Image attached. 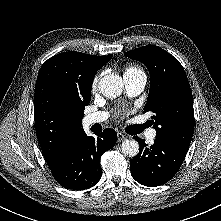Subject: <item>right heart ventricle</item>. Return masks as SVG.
<instances>
[{
  "label": "right heart ventricle",
  "mask_w": 221,
  "mask_h": 221,
  "mask_svg": "<svg viewBox=\"0 0 221 221\" xmlns=\"http://www.w3.org/2000/svg\"><path fill=\"white\" fill-rule=\"evenodd\" d=\"M124 75H130V76L144 75V76H146L142 67L136 63H129L128 65H126V67L124 69Z\"/></svg>",
  "instance_id": "right-heart-ventricle-1"
}]
</instances>
